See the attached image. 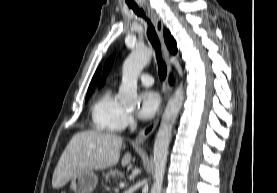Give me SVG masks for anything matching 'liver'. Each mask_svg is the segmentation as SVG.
Wrapping results in <instances>:
<instances>
[{
    "mask_svg": "<svg viewBox=\"0 0 277 193\" xmlns=\"http://www.w3.org/2000/svg\"><path fill=\"white\" fill-rule=\"evenodd\" d=\"M123 139L120 136L88 130L75 134L63 151L53 173L52 186L63 187L74 176L116 165L120 158ZM131 154L125 153L121 164L131 162Z\"/></svg>",
    "mask_w": 277,
    "mask_h": 193,
    "instance_id": "obj_1",
    "label": "liver"
}]
</instances>
